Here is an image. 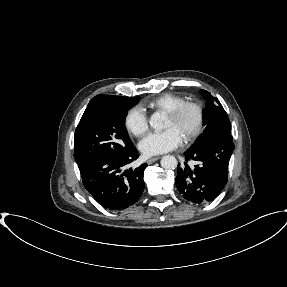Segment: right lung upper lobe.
Instances as JSON below:
<instances>
[{
  "label": "right lung upper lobe",
  "instance_id": "1",
  "mask_svg": "<svg viewBox=\"0 0 287 287\" xmlns=\"http://www.w3.org/2000/svg\"><path fill=\"white\" fill-rule=\"evenodd\" d=\"M116 96H112V95H97L94 98H92L82 116V118H84L85 116H87L90 112H92L94 109H96L98 107V105L105 100L108 99H112ZM81 118V119H82Z\"/></svg>",
  "mask_w": 287,
  "mask_h": 287
}]
</instances>
